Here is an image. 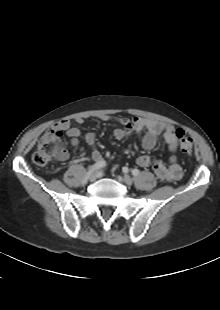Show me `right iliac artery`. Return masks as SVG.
<instances>
[{"label": "right iliac artery", "mask_w": 220, "mask_h": 310, "mask_svg": "<svg viewBox=\"0 0 220 310\" xmlns=\"http://www.w3.org/2000/svg\"><path fill=\"white\" fill-rule=\"evenodd\" d=\"M103 166H105V162L95 163L94 165L90 166L88 169V172L86 173V176L81 182V185H85L90 175L94 173L95 171L99 170L100 168H102Z\"/></svg>", "instance_id": "right-iliac-artery-1"}]
</instances>
